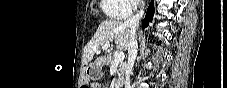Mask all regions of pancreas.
Segmentation results:
<instances>
[{
  "label": "pancreas",
  "mask_w": 227,
  "mask_h": 88,
  "mask_svg": "<svg viewBox=\"0 0 227 88\" xmlns=\"http://www.w3.org/2000/svg\"><path fill=\"white\" fill-rule=\"evenodd\" d=\"M105 60H106V65L107 66L114 65V57H112L111 55H107V57H105ZM116 65L119 67V69H118L119 77H120V79L122 81L124 79V75H125L126 63L119 62Z\"/></svg>",
  "instance_id": "cf45deb5"
}]
</instances>
